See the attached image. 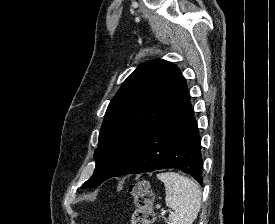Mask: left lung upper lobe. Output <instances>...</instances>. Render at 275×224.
Instances as JSON below:
<instances>
[{
	"label": "left lung upper lobe",
	"mask_w": 275,
	"mask_h": 224,
	"mask_svg": "<svg viewBox=\"0 0 275 224\" xmlns=\"http://www.w3.org/2000/svg\"><path fill=\"white\" fill-rule=\"evenodd\" d=\"M187 92L179 68L170 62L157 59L139 65L107 108L94 153L95 171L82 188L126 173L160 121Z\"/></svg>",
	"instance_id": "left-lung-upper-lobe-1"
}]
</instances>
